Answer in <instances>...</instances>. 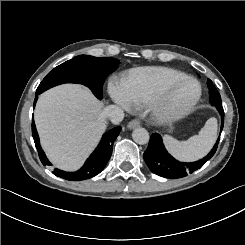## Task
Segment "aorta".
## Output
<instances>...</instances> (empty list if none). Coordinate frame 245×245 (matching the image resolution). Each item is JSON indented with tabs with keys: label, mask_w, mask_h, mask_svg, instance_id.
Returning <instances> with one entry per match:
<instances>
[{
	"label": "aorta",
	"mask_w": 245,
	"mask_h": 245,
	"mask_svg": "<svg viewBox=\"0 0 245 245\" xmlns=\"http://www.w3.org/2000/svg\"><path fill=\"white\" fill-rule=\"evenodd\" d=\"M132 138L137 144L144 145L149 141V133L145 128L139 127L132 132Z\"/></svg>",
	"instance_id": "aorta-1"
}]
</instances>
